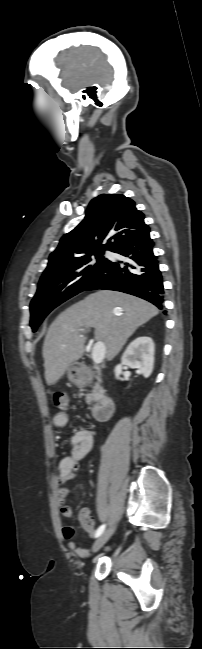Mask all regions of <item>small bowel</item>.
I'll return each mask as SVG.
<instances>
[{"mask_svg": "<svg viewBox=\"0 0 202 649\" xmlns=\"http://www.w3.org/2000/svg\"><path fill=\"white\" fill-rule=\"evenodd\" d=\"M69 423V415L66 412H58L53 417V425L56 428H65ZM93 446V435L88 430L76 432L70 440V449L58 466V483L64 485L74 479L79 472L80 462L89 454ZM69 489L61 487L58 490L57 498L59 510L63 517L69 519L72 510L68 504ZM79 521L83 529L92 537L96 533L94 519L88 508H83L79 514ZM61 533L64 539L68 540V547L75 551L80 558L90 556L88 549L78 547L73 541L75 536L74 528L69 524H63Z\"/></svg>", "mask_w": 202, "mask_h": 649, "instance_id": "c3829d8e", "label": "small bowel"}]
</instances>
